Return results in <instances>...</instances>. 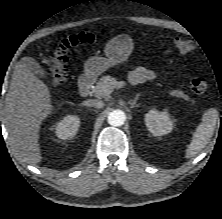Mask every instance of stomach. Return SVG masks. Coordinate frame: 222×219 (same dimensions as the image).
<instances>
[{
    "label": "stomach",
    "mask_w": 222,
    "mask_h": 219,
    "mask_svg": "<svg viewBox=\"0 0 222 219\" xmlns=\"http://www.w3.org/2000/svg\"><path fill=\"white\" fill-rule=\"evenodd\" d=\"M134 49L132 38L125 33L114 36L105 46L103 57H92L85 63L84 71L88 77H97L109 67L124 63Z\"/></svg>",
    "instance_id": "stomach-1"
}]
</instances>
